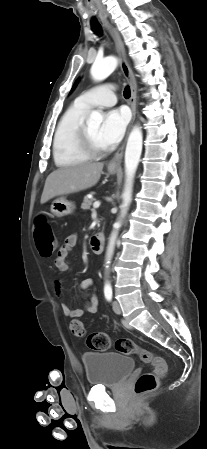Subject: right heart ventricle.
I'll use <instances>...</instances> for the list:
<instances>
[{"mask_svg":"<svg viewBox=\"0 0 207 449\" xmlns=\"http://www.w3.org/2000/svg\"><path fill=\"white\" fill-rule=\"evenodd\" d=\"M89 109L74 103L60 118L53 137L56 166H74L89 159L77 146V133Z\"/></svg>","mask_w":207,"mask_h":449,"instance_id":"e07e8e85","label":"right heart ventricle"}]
</instances>
